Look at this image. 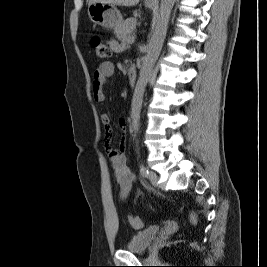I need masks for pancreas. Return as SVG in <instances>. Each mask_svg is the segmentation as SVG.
Returning <instances> with one entry per match:
<instances>
[{
    "instance_id": "cf45deb5",
    "label": "pancreas",
    "mask_w": 267,
    "mask_h": 267,
    "mask_svg": "<svg viewBox=\"0 0 267 267\" xmlns=\"http://www.w3.org/2000/svg\"><path fill=\"white\" fill-rule=\"evenodd\" d=\"M137 21L135 18H128L123 23L115 29L116 36L119 40L125 39L135 31Z\"/></svg>"
}]
</instances>
